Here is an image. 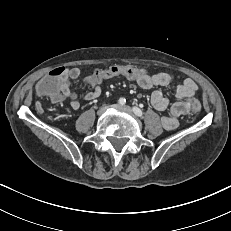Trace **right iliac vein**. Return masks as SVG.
I'll return each mask as SVG.
<instances>
[{
	"label": "right iliac vein",
	"instance_id": "63e3f726",
	"mask_svg": "<svg viewBox=\"0 0 231 231\" xmlns=\"http://www.w3.org/2000/svg\"><path fill=\"white\" fill-rule=\"evenodd\" d=\"M112 106H113V105H112ZM108 108H109V106H103V107H101V108L98 110L97 114H98V115H103V114H105V113L107 112Z\"/></svg>",
	"mask_w": 231,
	"mask_h": 231
}]
</instances>
